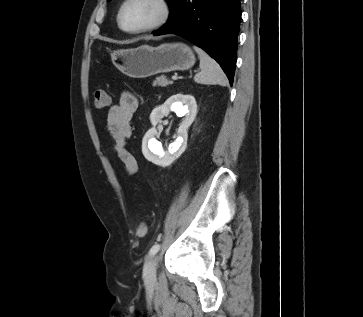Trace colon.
Returning <instances> with one entry per match:
<instances>
[{
    "label": "colon",
    "instance_id": "obj_1",
    "mask_svg": "<svg viewBox=\"0 0 363 317\" xmlns=\"http://www.w3.org/2000/svg\"><path fill=\"white\" fill-rule=\"evenodd\" d=\"M93 106L96 109H103L106 108L110 104V97L109 94L104 90H97L93 94ZM135 233L138 236H143L146 233V226L144 223H140L135 228Z\"/></svg>",
    "mask_w": 363,
    "mask_h": 317
}]
</instances>
